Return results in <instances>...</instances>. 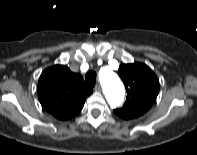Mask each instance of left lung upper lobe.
I'll return each mask as SVG.
<instances>
[{
	"mask_svg": "<svg viewBox=\"0 0 197 155\" xmlns=\"http://www.w3.org/2000/svg\"><path fill=\"white\" fill-rule=\"evenodd\" d=\"M118 74L126 87L127 99L114 113L129 120L143 115L153 105L159 92V80L143 63L123 64Z\"/></svg>",
	"mask_w": 197,
	"mask_h": 155,
	"instance_id": "left-lung-upper-lobe-1",
	"label": "left lung upper lobe"
}]
</instances>
